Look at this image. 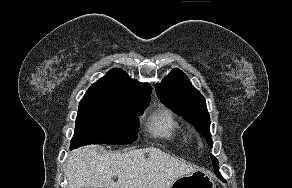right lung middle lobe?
I'll return each instance as SVG.
<instances>
[{
	"label": "right lung middle lobe",
	"instance_id": "right-lung-middle-lobe-1",
	"mask_svg": "<svg viewBox=\"0 0 292 188\" xmlns=\"http://www.w3.org/2000/svg\"><path fill=\"white\" fill-rule=\"evenodd\" d=\"M149 102L119 91L89 88L79 103L71 149L92 143L134 142L139 128L137 116Z\"/></svg>",
	"mask_w": 292,
	"mask_h": 188
}]
</instances>
